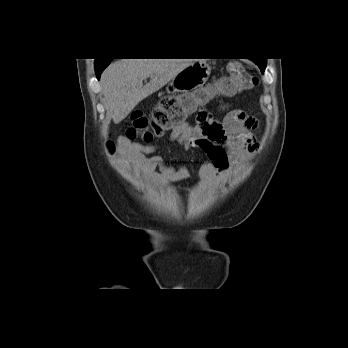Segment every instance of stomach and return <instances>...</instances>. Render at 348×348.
Returning a JSON list of instances; mask_svg holds the SVG:
<instances>
[{"label": "stomach", "mask_w": 348, "mask_h": 348, "mask_svg": "<svg viewBox=\"0 0 348 348\" xmlns=\"http://www.w3.org/2000/svg\"><path fill=\"white\" fill-rule=\"evenodd\" d=\"M211 67L203 61H196L181 70L167 85L168 94H181L185 98L186 113L190 114L208 102L201 89L208 80Z\"/></svg>", "instance_id": "obj_1"}]
</instances>
